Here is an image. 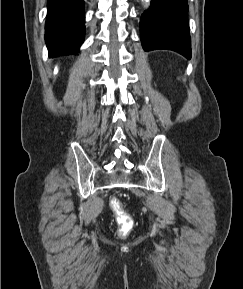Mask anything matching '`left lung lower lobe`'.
Masks as SVG:
<instances>
[{
	"label": "left lung lower lobe",
	"mask_w": 243,
	"mask_h": 289,
	"mask_svg": "<svg viewBox=\"0 0 243 289\" xmlns=\"http://www.w3.org/2000/svg\"><path fill=\"white\" fill-rule=\"evenodd\" d=\"M187 12V0H151L150 8L142 14L140 20L144 50H174L190 59Z\"/></svg>",
	"instance_id": "0a47b994"
}]
</instances>
